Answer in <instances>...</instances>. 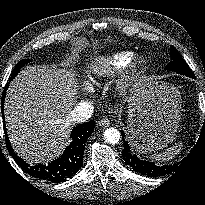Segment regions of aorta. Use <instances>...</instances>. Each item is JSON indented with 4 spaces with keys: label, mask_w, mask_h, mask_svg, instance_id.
Instances as JSON below:
<instances>
[{
    "label": "aorta",
    "mask_w": 205,
    "mask_h": 205,
    "mask_svg": "<svg viewBox=\"0 0 205 205\" xmlns=\"http://www.w3.org/2000/svg\"><path fill=\"white\" fill-rule=\"evenodd\" d=\"M120 132L115 128H107L104 131V137L110 144H117L120 141Z\"/></svg>",
    "instance_id": "aorta-1"
}]
</instances>
